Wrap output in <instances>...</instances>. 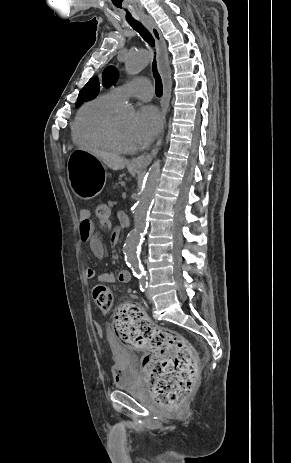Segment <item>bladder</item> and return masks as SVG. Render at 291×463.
Listing matches in <instances>:
<instances>
[{"label": "bladder", "mask_w": 291, "mask_h": 463, "mask_svg": "<svg viewBox=\"0 0 291 463\" xmlns=\"http://www.w3.org/2000/svg\"><path fill=\"white\" fill-rule=\"evenodd\" d=\"M115 385L118 389H132L137 386L138 376L134 367V358L126 353L119 352L115 356Z\"/></svg>", "instance_id": "bladder-1"}]
</instances>
